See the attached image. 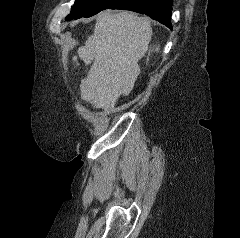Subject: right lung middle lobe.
I'll use <instances>...</instances> for the list:
<instances>
[{
	"label": "right lung middle lobe",
	"instance_id": "obj_1",
	"mask_svg": "<svg viewBox=\"0 0 240 238\" xmlns=\"http://www.w3.org/2000/svg\"><path fill=\"white\" fill-rule=\"evenodd\" d=\"M118 0H75L71 13L66 20L78 19L81 17H90L98 12L109 9Z\"/></svg>",
	"mask_w": 240,
	"mask_h": 238
}]
</instances>
